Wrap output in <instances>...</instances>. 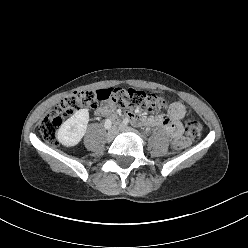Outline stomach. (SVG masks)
I'll return each mask as SVG.
<instances>
[{"instance_id": "stomach-1", "label": "stomach", "mask_w": 248, "mask_h": 248, "mask_svg": "<svg viewBox=\"0 0 248 248\" xmlns=\"http://www.w3.org/2000/svg\"><path fill=\"white\" fill-rule=\"evenodd\" d=\"M144 106L154 114H161L167 108V101L158 93H150L144 99Z\"/></svg>"}]
</instances>
